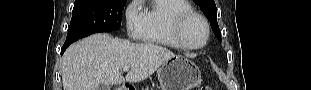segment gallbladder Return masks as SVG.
I'll list each match as a JSON object with an SVG mask.
<instances>
[{
    "label": "gallbladder",
    "mask_w": 311,
    "mask_h": 90,
    "mask_svg": "<svg viewBox=\"0 0 311 90\" xmlns=\"http://www.w3.org/2000/svg\"><path fill=\"white\" fill-rule=\"evenodd\" d=\"M98 90H110V87L108 85L100 84Z\"/></svg>",
    "instance_id": "bac80fb5"
}]
</instances>
